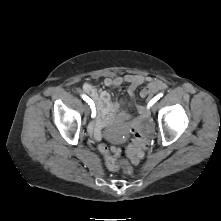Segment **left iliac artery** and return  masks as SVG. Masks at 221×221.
<instances>
[{"mask_svg": "<svg viewBox=\"0 0 221 221\" xmlns=\"http://www.w3.org/2000/svg\"><path fill=\"white\" fill-rule=\"evenodd\" d=\"M163 96V93H159L157 96H155L150 102L149 106H152L157 100H159Z\"/></svg>", "mask_w": 221, "mask_h": 221, "instance_id": "1", "label": "left iliac artery"}]
</instances>
